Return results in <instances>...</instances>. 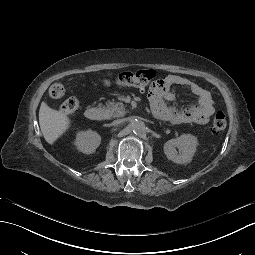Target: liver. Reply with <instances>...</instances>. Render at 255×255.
I'll return each mask as SVG.
<instances>
[{"label": "liver", "instance_id": "liver-1", "mask_svg": "<svg viewBox=\"0 0 255 255\" xmlns=\"http://www.w3.org/2000/svg\"><path fill=\"white\" fill-rule=\"evenodd\" d=\"M41 132L49 145H55L71 128V118L64 112L50 108L44 101L39 110Z\"/></svg>", "mask_w": 255, "mask_h": 255}]
</instances>
